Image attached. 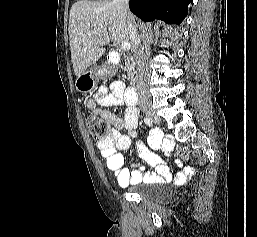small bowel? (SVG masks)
Segmentation results:
<instances>
[{"instance_id":"c3829d8e","label":"small bowel","mask_w":257,"mask_h":237,"mask_svg":"<svg viewBox=\"0 0 257 237\" xmlns=\"http://www.w3.org/2000/svg\"><path fill=\"white\" fill-rule=\"evenodd\" d=\"M123 105H126V108L122 117L117 116L108 109ZM86 106L94 114L99 115L112 125L109 136L105 140L99 141L97 147L100 155L106 160L107 168L116 176L119 186L125 187L141 182L175 184L185 181L194 173V168L192 167H186L176 174L170 172L167 165L155 151V148L162 143L160 132L155 135L151 132L148 138L150 148L139 142L137 143L139 155L154 168V171H147L140 165H137L133 171L123 167L121 152L131 146V138L136 135L139 118L138 108L127 103L123 82L113 81L109 86H101L94 96L87 100ZM122 130H125L126 134L122 133ZM164 151L170 152L169 143H165ZM178 164L180 166L181 162L178 161Z\"/></svg>"}]
</instances>
